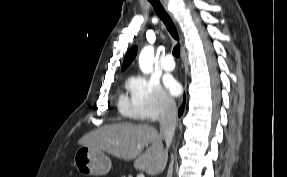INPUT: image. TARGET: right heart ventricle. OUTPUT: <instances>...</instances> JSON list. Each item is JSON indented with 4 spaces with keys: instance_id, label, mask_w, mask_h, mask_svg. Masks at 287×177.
Wrapping results in <instances>:
<instances>
[{
    "instance_id": "1",
    "label": "right heart ventricle",
    "mask_w": 287,
    "mask_h": 177,
    "mask_svg": "<svg viewBox=\"0 0 287 177\" xmlns=\"http://www.w3.org/2000/svg\"><path fill=\"white\" fill-rule=\"evenodd\" d=\"M119 110L127 116H134V105L126 96L121 95L118 102Z\"/></svg>"
}]
</instances>
